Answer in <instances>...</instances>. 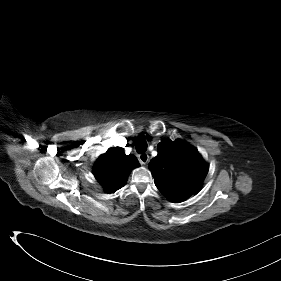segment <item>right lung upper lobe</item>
<instances>
[{
	"label": "right lung upper lobe",
	"instance_id": "right-lung-upper-lobe-1",
	"mask_svg": "<svg viewBox=\"0 0 281 281\" xmlns=\"http://www.w3.org/2000/svg\"><path fill=\"white\" fill-rule=\"evenodd\" d=\"M138 166L134 155H126L120 147L110 148L97 159L94 176L107 193H114L126 183L131 169Z\"/></svg>",
	"mask_w": 281,
	"mask_h": 281
}]
</instances>
